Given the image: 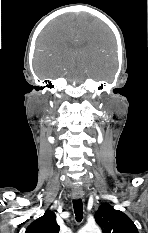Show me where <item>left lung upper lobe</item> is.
I'll use <instances>...</instances> for the list:
<instances>
[{"label":"left lung upper lobe","instance_id":"5c2ea615","mask_svg":"<svg viewBox=\"0 0 148 233\" xmlns=\"http://www.w3.org/2000/svg\"><path fill=\"white\" fill-rule=\"evenodd\" d=\"M95 220L103 233H138L132 220L110 204H102L95 213Z\"/></svg>","mask_w":148,"mask_h":233}]
</instances>
